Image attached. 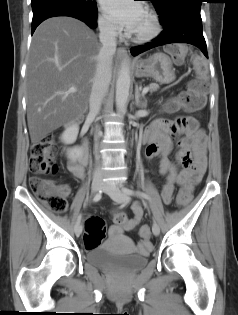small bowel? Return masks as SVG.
<instances>
[{
    "label": "small bowel",
    "mask_w": 238,
    "mask_h": 315,
    "mask_svg": "<svg viewBox=\"0 0 238 315\" xmlns=\"http://www.w3.org/2000/svg\"><path fill=\"white\" fill-rule=\"evenodd\" d=\"M181 133L183 136L178 140L177 158L184 167L178 170L175 163L170 161L169 154L172 151L171 134ZM141 140L147 144L145 156L149 160L158 158L159 172L166 177V182L162 188V199L165 203H170L176 186L182 190L192 191L206 169V144L207 136L199 127L198 122L193 118H180L170 124L164 121L152 123L142 134ZM190 152L193 155L191 163ZM89 152L86 142L82 143V154L78 162H71L68 166L69 172L77 179H83L85 167L88 164ZM59 193L67 196L70 187L61 186ZM133 217L128 219L124 225H112L109 229L113 235L121 234L123 231H132L143 218V208L139 202H135L131 207ZM152 248V243L148 238H144L138 243V252L146 253Z\"/></svg>",
    "instance_id": "c3829d8e"
}]
</instances>
